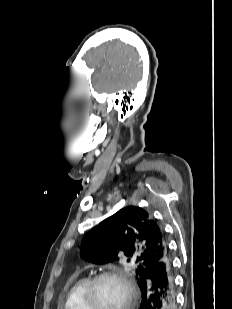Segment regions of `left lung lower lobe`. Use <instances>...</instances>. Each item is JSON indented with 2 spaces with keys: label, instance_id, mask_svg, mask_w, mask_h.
Wrapping results in <instances>:
<instances>
[{
  "label": "left lung lower lobe",
  "instance_id": "1",
  "mask_svg": "<svg viewBox=\"0 0 232 309\" xmlns=\"http://www.w3.org/2000/svg\"><path fill=\"white\" fill-rule=\"evenodd\" d=\"M139 287V309H176L174 270L169 253L147 271Z\"/></svg>",
  "mask_w": 232,
  "mask_h": 309
}]
</instances>
